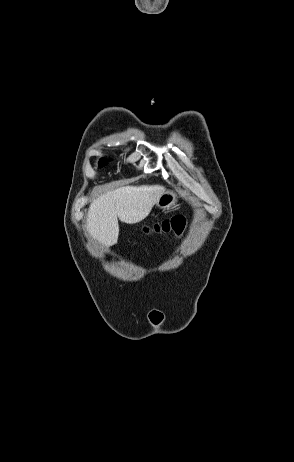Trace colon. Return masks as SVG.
Instances as JSON below:
<instances>
[{"mask_svg":"<svg viewBox=\"0 0 294 462\" xmlns=\"http://www.w3.org/2000/svg\"><path fill=\"white\" fill-rule=\"evenodd\" d=\"M186 226V220L182 216H175L167 220L158 222L152 226V230L157 233L174 234L180 236ZM149 229H146V231Z\"/></svg>","mask_w":294,"mask_h":462,"instance_id":"1","label":"colon"}]
</instances>
